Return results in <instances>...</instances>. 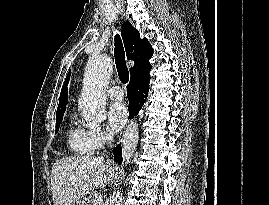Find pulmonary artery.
I'll use <instances>...</instances> for the list:
<instances>
[{
  "label": "pulmonary artery",
  "instance_id": "1",
  "mask_svg": "<svg viewBox=\"0 0 269 205\" xmlns=\"http://www.w3.org/2000/svg\"><path fill=\"white\" fill-rule=\"evenodd\" d=\"M108 96L114 100H121L124 97V93L120 87L115 86L108 90Z\"/></svg>",
  "mask_w": 269,
  "mask_h": 205
}]
</instances>
